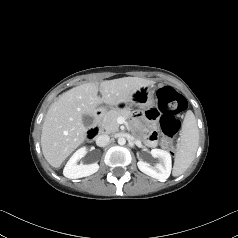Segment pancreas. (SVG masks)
Wrapping results in <instances>:
<instances>
[{"instance_id":"1","label":"pancreas","mask_w":238,"mask_h":238,"mask_svg":"<svg viewBox=\"0 0 238 238\" xmlns=\"http://www.w3.org/2000/svg\"><path fill=\"white\" fill-rule=\"evenodd\" d=\"M119 117H123L124 119H128L131 117V112L127 109L121 110H110L105 114L101 121V128L105 129L106 133H114L119 130V124L117 123V119Z\"/></svg>"}]
</instances>
